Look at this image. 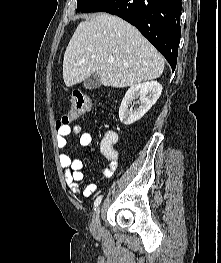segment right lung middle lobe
<instances>
[{"instance_id":"obj_1","label":"right lung middle lobe","mask_w":221,"mask_h":263,"mask_svg":"<svg viewBox=\"0 0 221 263\" xmlns=\"http://www.w3.org/2000/svg\"><path fill=\"white\" fill-rule=\"evenodd\" d=\"M104 0H77L76 12H92Z\"/></svg>"}]
</instances>
